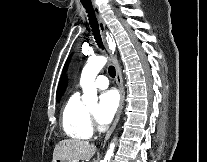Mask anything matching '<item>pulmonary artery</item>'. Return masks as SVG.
Instances as JSON below:
<instances>
[{"label": "pulmonary artery", "mask_w": 207, "mask_h": 162, "mask_svg": "<svg viewBox=\"0 0 207 162\" xmlns=\"http://www.w3.org/2000/svg\"><path fill=\"white\" fill-rule=\"evenodd\" d=\"M109 85L108 79L104 75H99L95 80V86L98 89H106Z\"/></svg>", "instance_id": "obj_1"}]
</instances>
